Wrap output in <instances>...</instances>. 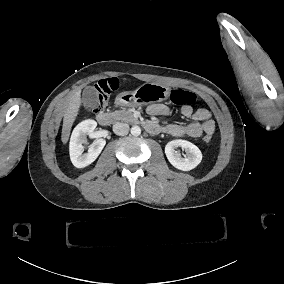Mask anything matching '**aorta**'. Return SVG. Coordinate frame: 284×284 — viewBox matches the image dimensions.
I'll return each mask as SVG.
<instances>
[{"label":"aorta","mask_w":284,"mask_h":284,"mask_svg":"<svg viewBox=\"0 0 284 284\" xmlns=\"http://www.w3.org/2000/svg\"><path fill=\"white\" fill-rule=\"evenodd\" d=\"M131 134L133 136H139L141 134V128L139 126H137V125L132 126Z\"/></svg>","instance_id":"762f6f07"}]
</instances>
